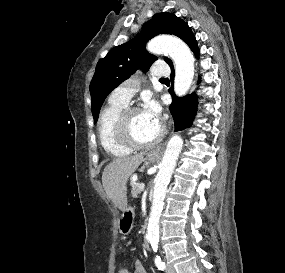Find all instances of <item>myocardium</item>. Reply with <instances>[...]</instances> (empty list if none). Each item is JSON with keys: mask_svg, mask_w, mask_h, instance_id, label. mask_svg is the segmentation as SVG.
Instances as JSON below:
<instances>
[{"mask_svg": "<svg viewBox=\"0 0 285 273\" xmlns=\"http://www.w3.org/2000/svg\"><path fill=\"white\" fill-rule=\"evenodd\" d=\"M137 111H140L138 107L126 106L120 112L115 125L116 138L123 146L130 149H142L154 146L164 138L166 128L163 124H160L158 135L154 139L147 142L137 141L129 130V118L133 113Z\"/></svg>", "mask_w": 285, "mask_h": 273, "instance_id": "obj_1", "label": "myocardium"}]
</instances>
